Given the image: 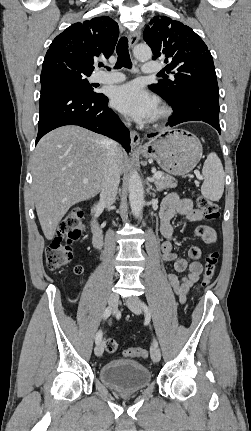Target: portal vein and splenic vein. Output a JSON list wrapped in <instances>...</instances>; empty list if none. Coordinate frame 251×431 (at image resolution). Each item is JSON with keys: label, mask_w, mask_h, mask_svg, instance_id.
I'll use <instances>...</instances> for the list:
<instances>
[{"label": "portal vein and splenic vein", "mask_w": 251, "mask_h": 431, "mask_svg": "<svg viewBox=\"0 0 251 431\" xmlns=\"http://www.w3.org/2000/svg\"><path fill=\"white\" fill-rule=\"evenodd\" d=\"M159 177H161V173L157 172V173H155V174L153 175L152 180H154V179H156V178H159ZM199 179L201 180L202 178L200 177ZM83 183H88V179H84V180H83Z\"/></svg>", "instance_id": "portal-vein-and-splenic-vein-1"}]
</instances>
